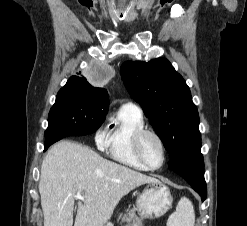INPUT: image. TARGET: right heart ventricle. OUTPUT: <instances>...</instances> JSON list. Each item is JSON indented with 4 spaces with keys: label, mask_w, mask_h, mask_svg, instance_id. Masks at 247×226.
<instances>
[{
    "label": "right heart ventricle",
    "mask_w": 247,
    "mask_h": 226,
    "mask_svg": "<svg viewBox=\"0 0 247 226\" xmlns=\"http://www.w3.org/2000/svg\"><path fill=\"white\" fill-rule=\"evenodd\" d=\"M144 128L140 109L124 105L118 111L108 130V140L104 147L107 154L115 161L136 170H148L135 157L132 140L134 134Z\"/></svg>",
    "instance_id": "e07e8e85"
}]
</instances>
